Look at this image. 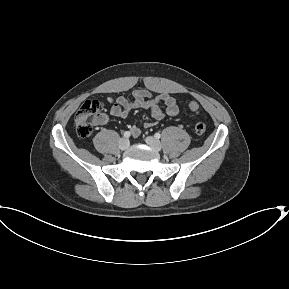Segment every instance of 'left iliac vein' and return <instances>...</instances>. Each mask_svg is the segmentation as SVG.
I'll use <instances>...</instances> for the list:
<instances>
[{
	"label": "left iliac vein",
	"mask_w": 289,
	"mask_h": 289,
	"mask_svg": "<svg viewBox=\"0 0 289 289\" xmlns=\"http://www.w3.org/2000/svg\"><path fill=\"white\" fill-rule=\"evenodd\" d=\"M145 142L156 151H160L162 149L160 141L152 136L146 137Z\"/></svg>",
	"instance_id": "obj_1"
}]
</instances>
